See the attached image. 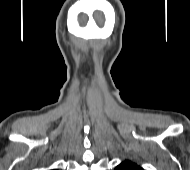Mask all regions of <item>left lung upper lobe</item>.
<instances>
[{"label":"left lung upper lobe","instance_id":"1","mask_svg":"<svg viewBox=\"0 0 190 170\" xmlns=\"http://www.w3.org/2000/svg\"><path fill=\"white\" fill-rule=\"evenodd\" d=\"M115 170H143V169L131 161H124V162L120 163L115 168Z\"/></svg>","mask_w":190,"mask_h":170}]
</instances>
